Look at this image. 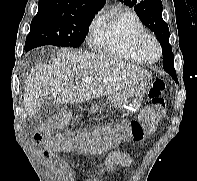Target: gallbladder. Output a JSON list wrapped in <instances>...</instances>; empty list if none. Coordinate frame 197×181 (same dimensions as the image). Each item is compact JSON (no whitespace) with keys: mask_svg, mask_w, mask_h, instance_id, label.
I'll return each mask as SVG.
<instances>
[{"mask_svg":"<svg viewBox=\"0 0 197 181\" xmlns=\"http://www.w3.org/2000/svg\"><path fill=\"white\" fill-rule=\"evenodd\" d=\"M54 104L55 102L50 97H43L41 100V109L39 111L40 115H44L48 111H50L53 108Z\"/></svg>","mask_w":197,"mask_h":181,"instance_id":"gallbladder-1","label":"gallbladder"}]
</instances>
